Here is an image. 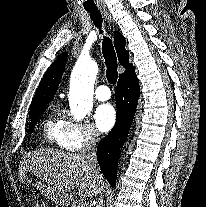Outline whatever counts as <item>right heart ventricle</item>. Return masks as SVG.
<instances>
[{
  "label": "right heart ventricle",
  "instance_id": "obj_1",
  "mask_svg": "<svg viewBox=\"0 0 206 207\" xmlns=\"http://www.w3.org/2000/svg\"><path fill=\"white\" fill-rule=\"evenodd\" d=\"M44 135L48 142L56 143L60 147L63 145V121L49 115L44 123ZM65 148V147H64Z\"/></svg>",
  "mask_w": 206,
  "mask_h": 207
}]
</instances>
